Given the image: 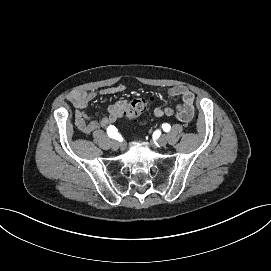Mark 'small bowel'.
Returning <instances> with one entry per match:
<instances>
[{"instance_id":"1","label":"small bowel","mask_w":271,"mask_h":271,"mask_svg":"<svg viewBox=\"0 0 271 271\" xmlns=\"http://www.w3.org/2000/svg\"><path fill=\"white\" fill-rule=\"evenodd\" d=\"M125 90V86L120 84L117 86L103 89L99 92H88L84 90H73L68 95V100L75 108V126L84 133L91 134L99 131L101 128L113 123L121 117L127 106V101L119 100L110 105L108 113L101 117L99 120L91 119L85 113V109L89 102L94 100L97 96H107L121 93ZM169 95L178 97L181 102L175 107H164L154 109L156 117L172 116L181 122H188L194 115V94L190 89L185 86H174L169 89Z\"/></svg>"}]
</instances>
